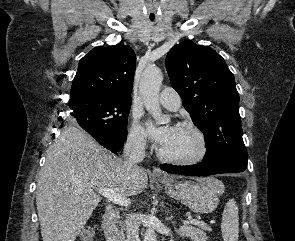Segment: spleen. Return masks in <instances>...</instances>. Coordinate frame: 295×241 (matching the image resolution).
<instances>
[{"label":"spleen","mask_w":295,"mask_h":241,"mask_svg":"<svg viewBox=\"0 0 295 241\" xmlns=\"http://www.w3.org/2000/svg\"><path fill=\"white\" fill-rule=\"evenodd\" d=\"M221 230L224 241H238L239 216L238 206L234 199L229 200L222 214Z\"/></svg>","instance_id":"obj_1"}]
</instances>
